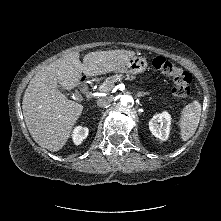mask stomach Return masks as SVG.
<instances>
[{
  "label": "stomach",
  "instance_id": "1",
  "mask_svg": "<svg viewBox=\"0 0 221 221\" xmlns=\"http://www.w3.org/2000/svg\"><path fill=\"white\" fill-rule=\"evenodd\" d=\"M148 66L147 60L144 57L134 56L126 61L124 65L116 70L119 73L139 74L146 70Z\"/></svg>",
  "mask_w": 221,
  "mask_h": 221
}]
</instances>
